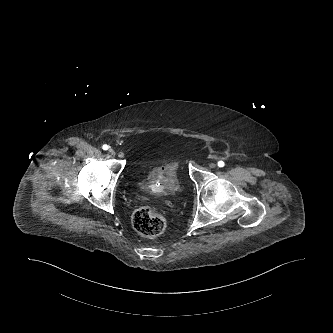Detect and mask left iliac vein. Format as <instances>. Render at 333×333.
I'll return each instance as SVG.
<instances>
[{
	"label": "left iliac vein",
	"instance_id": "left-iliac-vein-1",
	"mask_svg": "<svg viewBox=\"0 0 333 333\" xmlns=\"http://www.w3.org/2000/svg\"><path fill=\"white\" fill-rule=\"evenodd\" d=\"M209 167H210V168H215V167H216V164H215V163H210V164H209Z\"/></svg>",
	"mask_w": 333,
	"mask_h": 333
}]
</instances>
